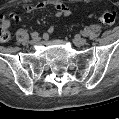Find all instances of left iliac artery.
Returning <instances> with one entry per match:
<instances>
[{
	"instance_id": "left-iliac-artery-1",
	"label": "left iliac artery",
	"mask_w": 119,
	"mask_h": 119,
	"mask_svg": "<svg viewBox=\"0 0 119 119\" xmlns=\"http://www.w3.org/2000/svg\"><path fill=\"white\" fill-rule=\"evenodd\" d=\"M81 34L87 37L89 35V31L85 29L84 31H81Z\"/></svg>"
}]
</instances>
